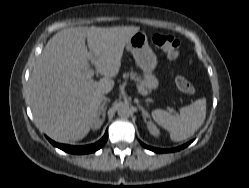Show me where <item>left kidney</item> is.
I'll return each instance as SVG.
<instances>
[{
    "label": "left kidney",
    "mask_w": 249,
    "mask_h": 188,
    "mask_svg": "<svg viewBox=\"0 0 249 188\" xmlns=\"http://www.w3.org/2000/svg\"><path fill=\"white\" fill-rule=\"evenodd\" d=\"M147 127H148L149 132H150L153 136L158 137V136L160 135V131H159V129L157 128V126H156L154 123L148 122V123H147Z\"/></svg>",
    "instance_id": "1"
}]
</instances>
